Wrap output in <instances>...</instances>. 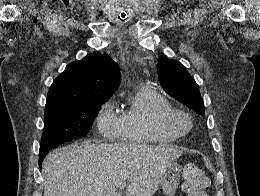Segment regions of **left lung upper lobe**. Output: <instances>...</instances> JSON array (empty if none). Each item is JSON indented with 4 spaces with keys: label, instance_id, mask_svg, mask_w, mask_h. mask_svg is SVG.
<instances>
[{
    "label": "left lung upper lobe",
    "instance_id": "obj_1",
    "mask_svg": "<svg viewBox=\"0 0 260 196\" xmlns=\"http://www.w3.org/2000/svg\"><path fill=\"white\" fill-rule=\"evenodd\" d=\"M158 78L164 90L187 107L204 116V103L199 87L185 67L162 55L158 61Z\"/></svg>",
    "mask_w": 260,
    "mask_h": 196
}]
</instances>
